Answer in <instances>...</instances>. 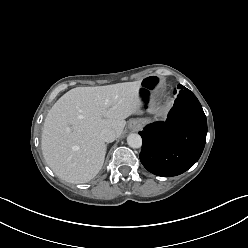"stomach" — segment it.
<instances>
[{"label":"stomach","instance_id":"0dacf381","mask_svg":"<svg viewBox=\"0 0 248 248\" xmlns=\"http://www.w3.org/2000/svg\"><path fill=\"white\" fill-rule=\"evenodd\" d=\"M136 121H137L140 125H144V124H146L147 122H149L150 119H149V118H142V119H137Z\"/></svg>","mask_w":248,"mask_h":248}]
</instances>
